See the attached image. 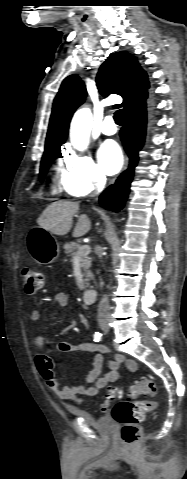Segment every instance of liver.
Wrapping results in <instances>:
<instances>
[{"label": "liver", "mask_w": 187, "mask_h": 479, "mask_svg": "<svg viewBox=\"0 0 187 479\" xmlns=\"http://www.w3.org/2000/svg\"><path fill=\"white\" fill-rule=\"evenodd\" d=\"M79 210L78 202L57 201L47 206L37 220L38 225L55 235H66L72 228L73 216ZM91 227V222L87 215L79 216L77 224L73 231L74 237L85 235Z\"/></svg>", "instance_id": "liver-1"}]
</instances>
